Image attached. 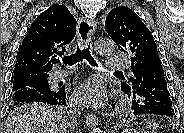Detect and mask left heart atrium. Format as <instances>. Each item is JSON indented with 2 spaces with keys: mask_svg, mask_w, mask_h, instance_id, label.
<instances>
[{
  "mask_svg": "<svg viewBox=\"0 0 184 133\" xmlns=\"http://www.w3.org/2000/svg\"><path fill=\"white\" fill-rule=\"evenodd\" d=\"M74 100L80 105L101 107L106 101L103 84L96 79L85 81L77 87L74 93Z\"/></svg>",
  "mask_w": 184,
  "mask_h": 133,
  "instance_id": "obj_1",
  "label": "left heart atrium"
}]
</instances>
